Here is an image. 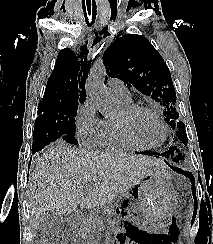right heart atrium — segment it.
Segmentation results:
<instances>
[{"instance_id":"right-heart-atrium-1","label":"right heart atrium","mask_w":213,"mask_h":244,"mask_svg":"<svg viewBox=\"0 0 213 244\" xmlns=\"http://www.w3.org/2000/svg\"><path fill=\"white\" fill-rule=\"evenodd\" d=\"M104 120L98 115L95 105L87 100L78 109L75 131L78 139L87 145H97Z\"/></svg>"}]
</instances>
